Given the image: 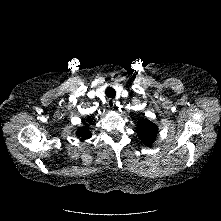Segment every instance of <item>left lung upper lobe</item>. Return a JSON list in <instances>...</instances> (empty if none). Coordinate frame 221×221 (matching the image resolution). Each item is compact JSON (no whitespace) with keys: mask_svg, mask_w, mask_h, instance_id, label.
I'll return each mask as SVG.
<instances>
[{"mask_svg":"<svg viewBox=\"0 0 221 221\" xmlns=\"http://www.w3.org/2000/svg\"><path fill=\"white\" fill-rule=\"evenodd\" d=\"M137 134L139 138L146 144L152 145L158 131L157 126L147 119L140 120L137 126Z\"/></svg>","mask_w":221,"mask_h":221,"instance_id":"left-lung-upper-lobe-1","label":"left lung upper lobe"}]
</instances>
